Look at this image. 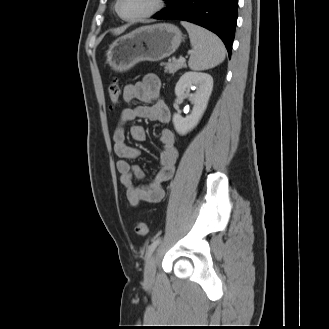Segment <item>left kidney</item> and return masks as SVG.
I'll use <instances>...</instances> for the list:
<instances>
[{
  "mask_svg": "<svg viewBox=\"0 0 329 329\" xmlns=\"http://www.w3.org/2000/svg\"><path fill=\"white\" fill-rule=\"evenodd\" d=\"M213 88V78L207 73L186 72L175 86L177 97L189 98L194 104L190 115L183 118L180 114L173 115L174 128L180 135H185L197 126L203 116ZM190 90H195L190 94Z\"/></svg>",
  "mask_w": 329,
  "mask_h": 329,
  "instance_id": "obj_1",
  "label": "left kidney"
}]
</instances>
